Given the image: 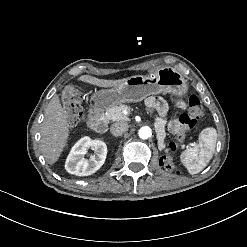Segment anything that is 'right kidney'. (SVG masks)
<instances>
[{"label": "right kidney", "mask_w": 247, "mask_h": 247, "mask_svg": "<svg viewBox=\"0 0 247 247\" xmlns=\"http://www.w3.org/2000/svg\"><path fill=\"white\" fill-rule=\"evenodd\" d=\"M89 148L94 151V154L86 159L84 155ZM106 155L107 147L103 142L93 141L89 136H83L70 149L65 169L68 173L76 176L91 175L103 165Z\"/></svg>", "instance_id": "obj_1"}]
</instances>
